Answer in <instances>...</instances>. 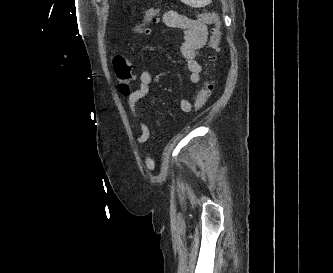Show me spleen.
Segmentation results:
<instances>
[{"mask_svg":"<svg viewBox=\"0 0 333 273\" xmlns=\"http://www.w3.org/2000/svg\"><path fill=\"white\" fill-rule=\"evenodd\" d=\"M181 2L190 5L192 7H205L210 4L212 0H180Z\"/></svg>","mask_w":333,"mask_h":273,"instance_id":"1","label":"spleen"}]
</instances>
